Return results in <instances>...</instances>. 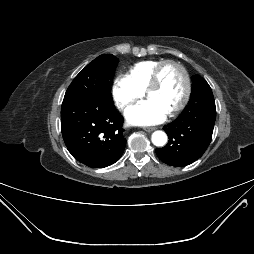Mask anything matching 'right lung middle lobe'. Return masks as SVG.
Instances as JSON below:
<instances>
[{"mask_svg":"<svg viewBox=\"0 0 254 254\" xmlns=\"http://www.w3.org/2000/svg\"><path fill=\"white\" fill-rule=\"evenodd\" d=\"M118 59L103 54L90 62L72 81L64 98H78L97 105L112 104L111 82Z\"/></svg>","mask_w":254,"mask_h":254,"instance_id":"obj_1","label":"right lung middle lobe"}]
</instances>
